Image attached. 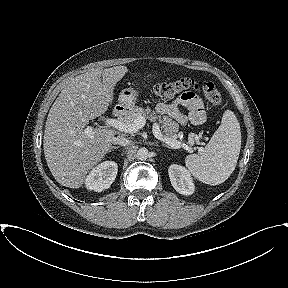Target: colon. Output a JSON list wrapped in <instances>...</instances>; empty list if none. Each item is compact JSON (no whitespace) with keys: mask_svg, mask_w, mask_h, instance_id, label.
I'll return each instance as SVG.
<instances>
[{"mask_svg":"<svg viewBox=\"0 0 288 288\" xmlns=\"http://www.w3.org/2000/svg\"><path fill=\"white\" fill-rule=\"evenodd\" d=\"M202 88L206 100L212 105L222 103V95L214 83L208 81H198L194 78H181L176 81L162 82L155 84L152 88L153 93L164 99L181 96L187 93L190 88Z\"/></svg>","mask_w":288,"mask_h":288,"instance_id":"obj_1","label":"colon"}]
</instances>
